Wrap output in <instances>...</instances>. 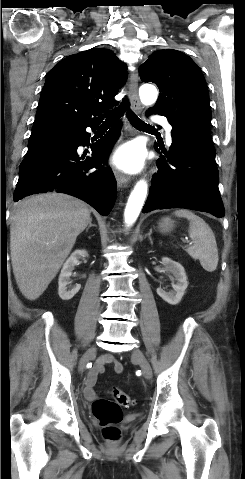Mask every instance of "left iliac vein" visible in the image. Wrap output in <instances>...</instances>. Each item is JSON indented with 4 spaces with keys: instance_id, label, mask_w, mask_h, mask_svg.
<instances>
[{
    "instance_id": "obj_1",
    "label": "left iliac vein",
    "mask_w": 245,
    "mask_h": 479,
    "mask_svg": "<svg viewBox=\"0 0 245 479\" xmlns=\"http://www.w3.org/2000/svg\"><path fill=\"white\" fill-rule=\"evenodd\" d=\"M132 359L141 367L144 377L150 379L152 377V368L143 352L140 349H134Z\"/></svg>"
}]
</instances>
